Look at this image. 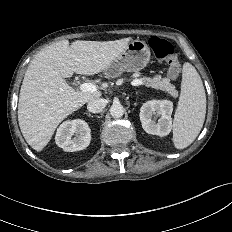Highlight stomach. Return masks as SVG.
<instances>
[{"instance_id": "stomach-1", "label": "stomach", "mask_w": 232, "mask_h": 232, "mask_svg": "<svg viewBox=\"0 0 232 232\" xmlns=\"http://www.w3.org/2000/svg\"><path fill=\"white\" fill-rule=\"evenodd\" d=\"M150 60L148 45L141 40L131 41L126 48L104 70L108 77H118L123 72H137L147 66Z\"/></svg>"}]
</instances>
